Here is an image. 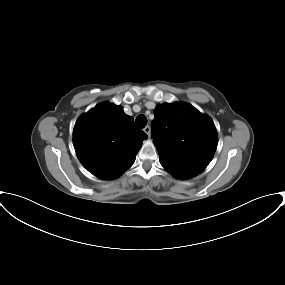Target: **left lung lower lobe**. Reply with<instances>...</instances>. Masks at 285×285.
<instances>
[{"label": "left lung lower lobe", "instance_id": "0a47b994", "mask_svg": "<svg viewBox=\"0 0 285 285\" xmlns=\"http://www.w3.org/2000/svg\"><path fill=\"white\" fill-rule=\"evenodd\" d=\"M160 163L171 175H173L177 179H189L200 173L194 169L172 165L161 160Z\"/></svg>", "mask_w": 285, "mask_h": 285}]
</instances>
